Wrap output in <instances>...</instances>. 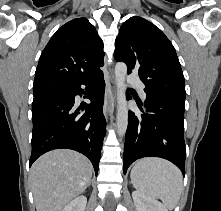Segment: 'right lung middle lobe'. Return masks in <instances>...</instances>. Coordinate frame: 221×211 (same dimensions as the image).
Masks as SVG:
<instances>
[{"label": "right lung middle lobe", "instance_id": "right-lung-middle-lobe-1", "mask_svg": "<svg viewBox=\"0 0 221 211\" xmlns=\"http://www.w3.org/2000/svg\"><path fill=\"white\" fill-rule=\"evenodd\" d=\"M42 92H44V91H40V92H33V94H34V95H36V94H39V93H42Z\"/></svg>", "mask_w": 221, "mask_h": 211}]
</instances>
